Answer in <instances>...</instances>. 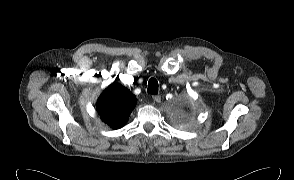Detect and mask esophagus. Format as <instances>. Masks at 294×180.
Instances as JSON below:
<instances>
[{
    "mask_svg": "<svg viewBox=\"0 0 294 180\" xmlns=\"http://www.w3.org/2000/svg\"><path fill=\"white\" fill-rule=\"evenodd\" d=\"M154 102L160 103L161 102V96L160 95H154L153 97Z\"/></svg>",
    "mask_w": 294,
    "mask_h": 180,
    "instance_id": "1",
    "label": "esophagus"
}]
</instances>
